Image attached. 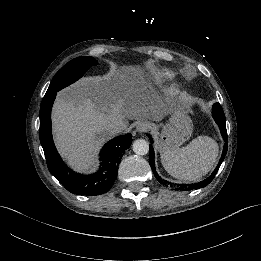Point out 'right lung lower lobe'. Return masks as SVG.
Instances as JSON below:
<instances>
[{
	"instance_id": "98d812e1",
	"label": "right lung lower lobe",
	"mask_w": 261,
	"mask_h": 261,
	"mask_svg": "<svg viewBox=\"0 0 261 261\" xmlns=\"http://www.w3.org/2000/svg\"><path fill=\"white\" fill-rule=\"evenodd\" d=\"M56 93L45 96L40 107V143L50 173L71 193L96 196L107 193L117 177L118 165L125 150L132 143L130 133L115 137L101 150V165L93 174L72 171L59 156L52 139L51 109Z\"/></svg>"
}]
</instances>
